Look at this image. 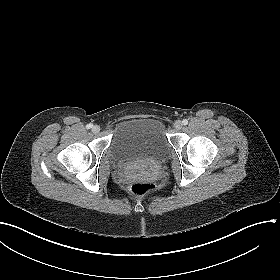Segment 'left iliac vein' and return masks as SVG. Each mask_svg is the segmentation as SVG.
Wrapping results in <instances>:
<instances>
[{"mask_svg":"<svg viewBox=\"0 0 280 280\" xmlns=\"http://www.w3.org/2000/svg\"><path fill=\"white\" fill-rule=\"evenodd\" d=\"M183 127V123L180 120L174 122V128L180 130Z\"/></svg>","mask_w":280,"mask_h":280,"instance_id":"1","label":"left iliac vein"}]
</instances>
